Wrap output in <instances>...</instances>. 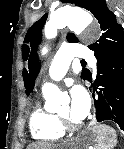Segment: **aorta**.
Returning a JSON list of instances; mask_svg holds the SVG:
<instances>
[{
	"instance_id": "762f6f07",
	"label": "aorta",
	"mask_w": 124,
	"mask_h": 149,
	"mask_svg": "<svg viewBox=\"0 0 124 149\" xmlns=\"http://www.w3.org/2000/svg\"><path fill=\"white\" fill-rule=\"evenodd\" d=\"M92 22V16L82 9H58L50 15L45 25V36L48 39L54 38L57 35V30L66 26L74 32H82L91 25ZM42 92L46 99V106L49 108H56L59 103L61 92L52 84H46Z\"/></svg>"
}]
</instances>
